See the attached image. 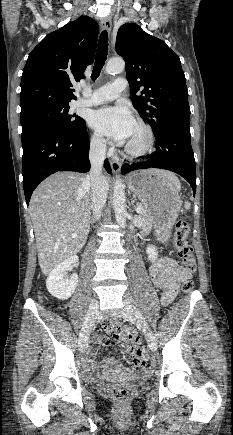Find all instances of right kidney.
I'll return each instance as SVG.
<instances>
[{
  "label": "right kidney",
  "instance_id": "right-kidney-1",
  "mask_svg": "<svg viewBox=\"0 0 233 435\" xmlns=\"http://www.w3.org/2000/svg\"><path fill=\"white\" fill-rule=\"evenodd\" d=\"M78 260V256H72L50 272L46 287L52 296L60 300H66L72 296L77 287L78 275L73 273L68 279L66 274L69 269L77 265Z\"/></svg>",
  "mask_w": 233,
  "mask_h": 435
}]
</instances>
